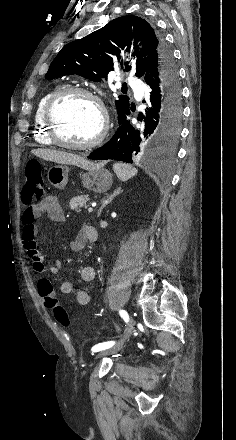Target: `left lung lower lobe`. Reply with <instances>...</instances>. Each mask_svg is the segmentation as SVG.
Here are the masks:
<instances>
[{"instance_id": "left-lung-lower-lobe-1", "label": "left lung lower lobe", "mask_w": 236, "mask_h": 440, "mask_svg": "<svg viewBox=\"0 0 236 440\" xmlns=\"http://www.w3.org/2000/svg\"><path fill=\"white\" fill-rule=\"evenodd\" d=\"M143 80L151 92L148 106L138 115L140 127H133L127 119L132 110L129 108L118 116L119 127L112 139L93 151L89 159L132 163L133 158L144 152H164L174 143L180 131L182 100L178 70L172 55L152 61Z\"/></svg>"}]
</instances>
